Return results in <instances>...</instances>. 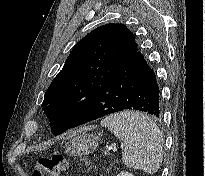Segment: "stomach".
<instances>
[{
    "mask_svg": "<svg viewBox=\"0 0 205 176\" xmlns=\"http://www.w3.org/2000/svg\"><path fill=\"white\" fill-rule=\"evenodd\" d=\"M98 142V135L88 134L86 131H82L66 144V153L71 156L89 154L96 149Z\"/></svg>",
    "mask_w": 205,
    "mask_h": 176,
    "instance_id": "obj_1",
    "label": "stomach"
}]
</instances>
